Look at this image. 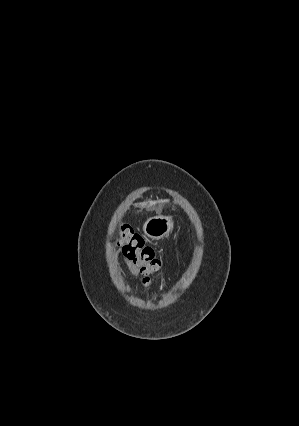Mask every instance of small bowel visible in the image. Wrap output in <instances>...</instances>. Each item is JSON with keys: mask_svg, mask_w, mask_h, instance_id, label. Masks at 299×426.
Masks as SVG:
<instances>
[{"mask_svg": "<svg viewBox=\"0 0 299 426\" xmlns=\"http://www.w3.org/2000/svg\"><path fill=\"white\" fill-rule=\"evenodd\" d=\"M123 260L128 268V270L130 271V273L134 276H139L140 272L138 270V267L127 257H123Z\"/></svg>", "mask_w": 299, "mask_h": 426, "instance_id": "small-bowel-1", "label": "small bowel"}]
</instances>
